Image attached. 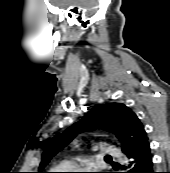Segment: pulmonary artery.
Returning a JSON list of instances; mask_svg holds the SVG:
<instances>
[{
  "label": "pulmonary artery",
  "mask_w": 170,
  "mask_h": 173,
  "mask_svg": "<svg viewBox=\"0 0 170 173\" xmlns=\"http://www.w3.org/2000/svg\"><path fill=\"white\" fill-rule=\"evenodd\" d=\"M103 153H105L109 156H112V157H120L121 156L120 151L117 148L112 147V146L104 147Z\"/></svg>",
  "instance_id": "e3ab8cb5"
}]
</instances>
